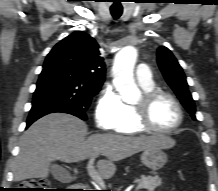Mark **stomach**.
<instances>
[{"mask_svg": "<svg viewBox=\"0 0 218 191\" xmlns=\"http://www.w3.org/2000/svg\"><path fill=\"white\" fill-rule=\"evenodd\" d=\"M141 162L147 168L157 171L167 163V155L161 148H148L141 154Z\"/></svg>", "mask_w": 218, "mask_h": 191, "instance_id": "obj_1", "label": "stomach"}]
</instances>
